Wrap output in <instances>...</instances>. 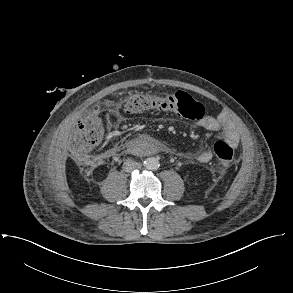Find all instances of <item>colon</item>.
<instances>
[{
  "instance_id": "1",
  "label": "colon",
  "mask_w": 293,
  "mask_h": 293,
  "mask_svg": "<svg viewBox=\"0 0 293 293\" xmlns=\"http://www.w3.org/2000/svg\"><path fill=\"white\" fill-rule=\"evenodd\" d=\"M201 104L196 102L189 94L178 91L164 98H155L145 94H131L122 107V114L135 115L147 111L176 112L182 117L199 119ZM104 127L97 116H90L83 120L75 133L72 146L74 153L83 158L94 146L98 145L103 137ZM214 153L220 164L226 168L234 162V149L226 141H217Z\"/></svg>"
}]
</instances>
